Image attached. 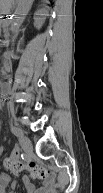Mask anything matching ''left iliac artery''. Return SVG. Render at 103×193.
I'll return each instance as SVG.
<instances>
[{
    "mask_svg": "<svg viewBox=\"0 0 103 193\" xmlns=\"http://www.w3.org/2000/svg\"><path fill=\"white\" fill-rule=\"evenodd\" d=\"M11 131L16 136H20L22 134L21 130H19L18 128L14 127V126H11Z\"/></svg>",
    "mask_w": 103,
    "mask_h": 193,
    "instance_id": "1",
    "label": "left iliac artery"
}]
</instances>
